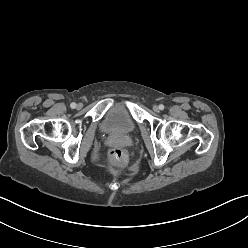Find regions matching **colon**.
I'll return each mask as SVG.
<instances>
[{
	"mask_svg": "<svg viewBox=\"0 0 248 248\" xmlns=\"http://www.w3.org/2000/svg\"><path fill=\"white\" fill-rule=\"evenodd\" d=\"M127 160L126 152L120 147H112L108 151V161L111 168H121Z\"/></svg>",
	"mask_w": 248,
	"mask_h": 248,
	"instance_id": "5ec220e1",
	"label": "colon"
}]
</instances>
